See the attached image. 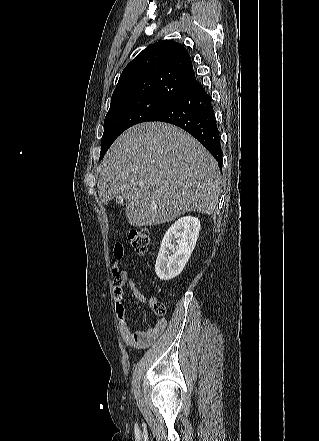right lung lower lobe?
<instances>
[{
	"label": "right lung lower lobe",
	"mask_w": 319,
	"mask_h": 441,
	"mask_svg": "<svg viewBox=\"0 0 319 441\" xmlns=\"http://www.w3.org/2000/svg\"><path fill=\"white\" fill-rule=\"evenodd\" d=\"M148 121H161L174 124L203 144L219 166L222 164L220 134L215 120L211 97L195 81L164 109Z\"/></svg>",
	"instance_id": "98d812e1"
}]
</instances>
